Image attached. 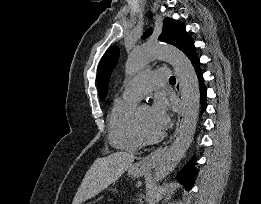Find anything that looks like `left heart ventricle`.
<instances>
[{
	"mask_svg": "<svg viewBox=\"0 0 261 204\" xmlns=\"http://www.w3.org/2000/svg\"><path fill=\"white\" fill-rule=\"evenodd\" d=\"M138 118L141 122V124L147 129L149 132L152 133H158L159 131L156 130L152 124L151 119V110L149 107L144 108L140 113L138 114Z\"/></svg>",
	"mask_w": 261,
	"mask_h": 204,
	"instance_id": "1",
	"label": "left heart ventricle"
}]
</instances>
